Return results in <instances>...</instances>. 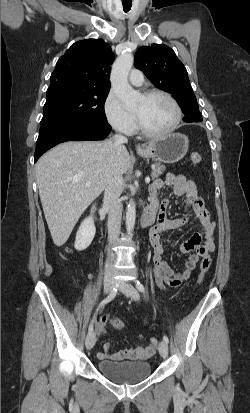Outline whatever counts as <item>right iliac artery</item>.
Returning <instances> with one entry per match:
<instances>
[{
    "mask_svg": "<svg viewBox=\"0 0 250 413\" xmlns=\"http://www.w3.org/2000/svg\"><path fill=\"white\" fill-rule=\"evenodd\" d=\"M116 294H117V287H114V288L111 290L110 294L99 304L97 310H98L99 308L105 306L107 303H109V302L116 296ZM94 319H95V315H94V317H93V319H92V321H91V323H90V325H89L88 332H92V331H93V322H94Z\"/></svg>",
    "mask_w": 250,
    "mask_h": 413,
    "instance_id": "right-iliac-artery-1",
    "label": "right iliac artery"
}]
</instances>
